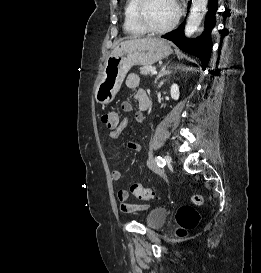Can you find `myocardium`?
Wrapping results in <instances>:
<instances>
[{
	"label": "myocardium",
	"instance_id": "obj_1",
	"mask_svg": "<svg viewBox=\"0 0 261 273\" xmlns=\"http://www.w3.org/2000/svg\"><path fill=\"white\" fill-rule=\"evenodd\" d=\"M149 0H137V3L134 7V11H133V17L134 20L136 22V24L143 29L145 32H150V33H166L170 30H172L178 23L179 21V11L177 9V13L176 16L174 18V20L169 23L168 25L164 26V27H154L149 25L144 17H143V11L146 7V5L148 4Z\"/></svg>",
	"mask_w": 261,
	"mask_h": 273
}]
</instances>
